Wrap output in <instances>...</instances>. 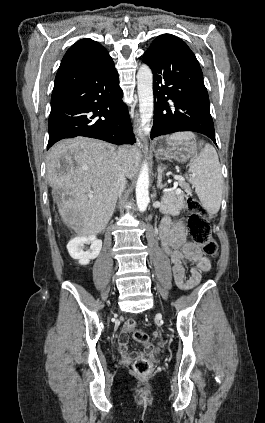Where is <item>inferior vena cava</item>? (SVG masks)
Listing matches in <instances>:
<instances>
[{
    "mask_svg": "<svg viewBox=\"0 0 265 423\" xmlns=\"http://www.w3.org/2000/svg\"><path fill=\"white\" fill-rule=\"evenodd\" d=\"M126 167L124 163H121L119 165V172H118V179H117V192L120 196L124 190L125 184H126Z\"/></svg>",
    "mask_w": 265,
    "mask_h": 423,
    "instance_id": "obj_1",
    "label": "inferior vena cava"
}]
</instances>
